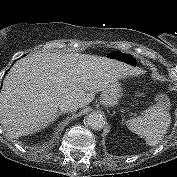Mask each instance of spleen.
I'll list each match as a JSON object with an SVG mask.
<instances>
[{"label":"spleen","mask_w":177,"mask_h":177,"mask_svg":"<svg viewBox=\"0 0 177 177\" xmlns=\"http://www.w3.org/2000/svg\"><path fill=\"white\" fill-rule=\"evenodd\" d=\"M156 102L145 110L142 116L126 122L128 129L143 138L150 146H155L162 141L171 123L168 97L158 95Z\"/></svg>","instance_id":"3e777b00"}]
</instances>
